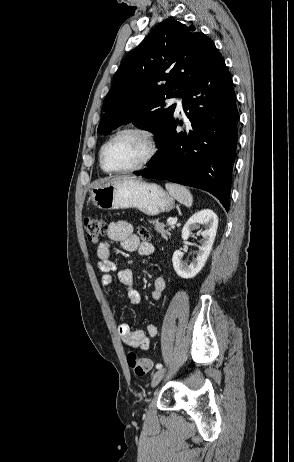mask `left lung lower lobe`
<instances>
[{"label":"left lung lower lobe","instance_id":"obj_1","mask_svg":"<svg viewBox=\"0 0 294 462\" xmlns=\"http://www.w3.org/2000/svg\"><path fill=\"white\" fill-rule=\"evenodd\" d=\"M181 97L191 124L177 133L183 122L174 119L157 143L160 155L135 174L208 191L228 211L239 113L224 60L205 68Z\"/></svg>","mask_w":294,"mask_h":462}]
</instances>
